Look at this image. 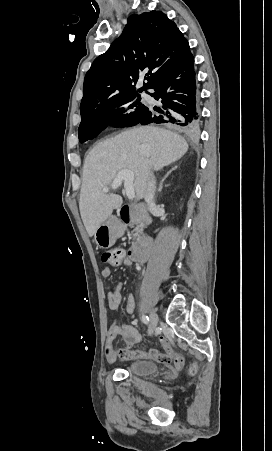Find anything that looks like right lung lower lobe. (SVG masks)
<instances>
[{"label": "right lung lower lobe", "instance_id": "obj_1", "mask_svg": "<svg viewBox=\"0 0 272 451\" xmlns=\"http://www.w3.org/2000/svg\"><path fill=\"white\" fill-rule=\"evenodd\" d=\"M152 88L155 93L150 95L161 100L164 108L163 111L154 110L162 115L157 116L149 108L137 124H168L184 133L197 130L201 118L191 52L168 68Z\"/></svg>", "mask_w": 272, "mask_h": 451}]
</instances>
